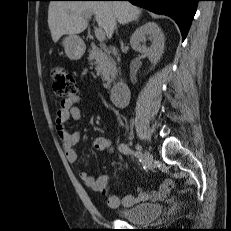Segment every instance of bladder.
Returning <instances> with one entry per match:
<instances>
[{
    "label": "bladder",
    "instance_id": "bladder-1",
    "mask_svg": "<svg viewBox=\"0 0 231 231\" xmlns=\"http://www.w3.org/2000/svg\"><path fill=\"white\" fill-rule=\"evenodd\" d=\"M161 204L137 203L129 207L117 209L116 213L126 222L146 224L156 220L162 213Z\"/></svg>",
    "mask_w": 231,
    "mask_h": 231
}]
</instances>
